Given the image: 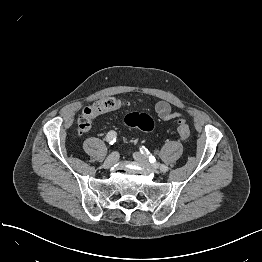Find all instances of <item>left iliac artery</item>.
<instances>
[{
  "label": "left iliac artery",
  "mask_w": 262,
  "mask_h": 262,
  "mask_svg": "<svg viewBox=\"0 0 262 262\" xmlns=\"http://www.w3.org/2000/svg\"><path fill=\"white\" fill-rule=\"evenodd\" d=\"M140 151H141V153H143L144 155H146V156L149 158L150 163H152V164L155 165V166L158 165L155 157H153L152 155H150V152L148 151L147 148H145V146H142V147L140 148ZM160 170L163 171V172H166V171H168V167L165 166V165H161V166H160Z\"/></svg>",
  "instance_id": "44dca946"
}]
</instances>
